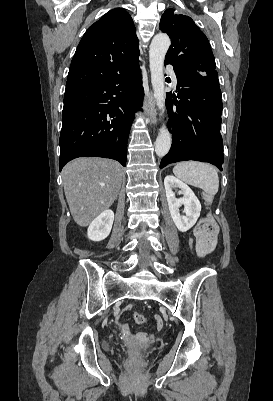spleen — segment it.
<instances>
[{
	"mask_svg": "<svg viewBox=\"0 0 273 401\" xmlns=\"http://www.w3.org/2000/svg\"><path fill=\"white\" fill-rule=\"evenodd\" d=\"M175 176L192 184V186H199L203 188L206 194L214 196L218 192L219 178L215 166L207 164V162H178L173 168Z\"/></svg>",
	"mask_w": 273,
	"mask_h": 401,
	"instance_id": "1",
	"label": "spleen"
}]
</instances>
